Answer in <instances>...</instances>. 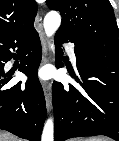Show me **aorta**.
<instances>
[{"label": "aorta", "mask_w": 119, "mask_h": 141, "mask_svg": "<svg viewBox=\"0 0 119 141\" xmlns=\"http://www.w3.org/2000/svg\"><path fill=\"white\" fill-rule=\"evenodd\" d=\"M61 17L58 12L51 11L44 18V29L48 37H51L59 28ZM54 140V125L53 120L48 119L44 125L41 141Z\"/></svg>", "instance_id": "1"}]
</instances>
